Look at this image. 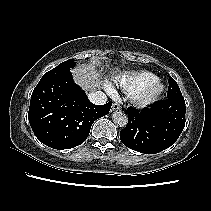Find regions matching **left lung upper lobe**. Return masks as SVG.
Segmentation results:
<instances>
[{"label":"left lung upper lobe","mask_w":211,"mask_h":211,"mask_svg":"<svg viewBox=\"0 0 211 211\" xmlns=\"http://www.w3.org/2000/svg\"><path fill=\"white\" fill-rule=\"evenodd\" d=\"M177 96H182L180 88L176 83V81L172 77H169V87H168L167 97H177Z\"/></svg>","instance_id":"left-lung-upper-lobe-1"}]
</instances>
